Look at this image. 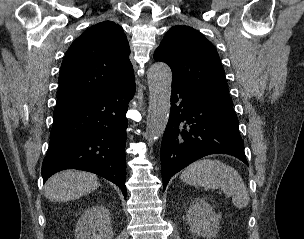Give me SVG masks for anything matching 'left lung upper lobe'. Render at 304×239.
I'll use <instances>...</instances> for the list:
<instances>
[{"label":"left lung upper lobe","instance_id":"5c2ea615","mask_svg":"<svg viewBox=\"0 0 304 239\" xmlns=\"http://www.w3.org/2000/svg\"><path fill=\"white\" fill-rule=\"evenodd\" d=\"M154 59L170 66L172 84L233 106L217 50L199 31L189 26L172 27L156 49Z\"/></svg>","mask_w":304,"mask_h":239}]
</instances>
